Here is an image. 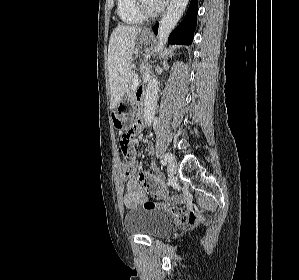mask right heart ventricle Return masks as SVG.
Listing matches in <instances>:
<instances>
[{
  "label": "right heart ventricle",
  "mask_w": 299,
  "mask_h": 280,
  "mask_svg": "<svg viewBox=\"0 0 299 280\" xmlns=\"http://www.w3.org/2000/svg\"><path fill=\"white\" fill-rule=\"evenodd\" d=\"M117 14L126 24H140L145 19L136 10L134 0H117Z\"/></svg>",
  "instance_id": "e07e8e85"
}]
</instances>
